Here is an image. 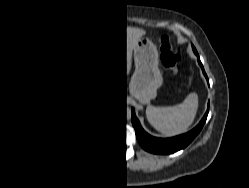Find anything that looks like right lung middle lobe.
I'll return each mask as SVG.
<instances>
[{
  "label": "right lung middle lobe",
  "instance_id": "obj_1",
  "mask_svg": "<svg viewBox=\"0 0 249 188\" xmlns=\"http://www.w3.org/2000/svg\"><path fill=\"white\" fill-rule=\"evenodd\" d=\"M77 34L74 31H68L65 33H62L60 36L56 38V42L60 45L65 46H72L76 42Z\"/></svg>",
  "mask_w": 249,
  "mask_h": 188
}]
</instances>
